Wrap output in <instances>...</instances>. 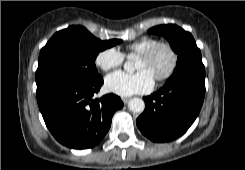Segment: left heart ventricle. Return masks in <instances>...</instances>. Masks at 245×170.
<instances>
[{"label": "left heart ventricle", "instance_id": "b2bd125f", "mask_svg": "<svg viewBox=\"0 0 245 170\" xmlns=\"http://www.w3.org/2000/svg\"><path fill=\"white\" fill-rule=\"evenodd\" d=\"M171 64V56L169 52L161 48L151 59H143L138 57L135 65L136 70H146L154 78L162 75Z\"/></svg>", "mask_w": 245, "mask_h": 170}]
</instances>
